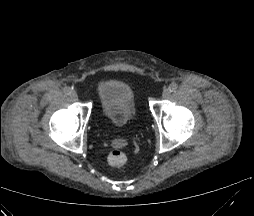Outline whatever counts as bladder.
<instances>
[{
    "mask_svg": "<svg viewBox=\"0 0 254 216\" xmlns=\"http://www.w3.org/2000/svg\"><path fill=\"white\" fill-rule=\"evenodd\" d=\"M105 119L116 130H126L134 122L136 109L130 86L118 79H107L99 85Z\"/></svg>",
    "mask_w": 254,
    "mask_h": 216,
    "instance_id": "1",
    "label": "bladder"
}]
</instances>
